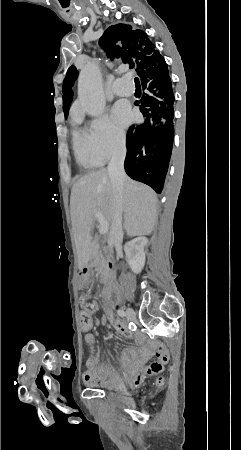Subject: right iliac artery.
<instances>
[{
  "instance_id": "right-iliac-artery-1",
  "label": "right iliac artery",
  "mask_w": 241,
  "mask_h": 450,
  "mask_svg": "<svg viewBox=\"0 0 241 450\" xmlns=\"http://www.w3.org/2000/svg\"><path fill=\"white\" fill-rule=\"evenodd\" d=\"M117 314H118L120 317H124V316H125V312H124L123 310H121V309H118V310H117Z\"/></svg>"
}]
</instances>
